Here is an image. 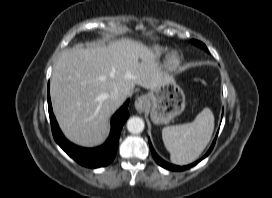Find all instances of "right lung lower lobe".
Returning a JSON list of instances; mask_svg holds the SVG:
<instances>
[{
  "label": "right lung lower lobe",
  "mask_w": 272,
  "mask_h": 198,
  "mask_svg": "<svg viewBox=\"0 0 272 198\" xmlns=\"http://www.w3.org/2000/svg\"><path fill=\"white\" fill-rule=\"evenodd\" d=\"M48 90H49V84H48ZM128 102L129 101L127 100L125 104L114 114L112 118V122H111L112 128H111L110 136L107 139V141L100 147L88 149V148L78 147L70 143L63 136L55 120V117L53 115L50 95L48 91V110H49L53 137L55 141L58 143V145L79 164L89 168H97V167L106 166L112 162V160L114 159L116 155L120 131L125 121L129 117Z\"/></svg>",
  "instance_id": "98d812e1"
}]
</instances>
